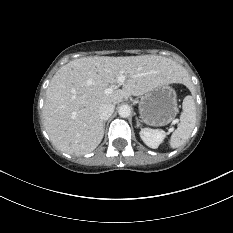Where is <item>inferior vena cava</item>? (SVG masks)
Returning <instances> with one entry per match:
<instances>
[{"instance_id": "1", "label": "inferior vena cava", "mask_w": 233, "mask_h": 233, "mask_svg": "<svg viewBox=\"0 0 233 233\" xmlns=\"http://www.w3.org/2000/svg\"><path fill=\"white\" fill-rule=\"evenodd\" d=\"M115 105L114 104H103L99 108V117L101 120H107L114 112Z\"/></svg>"}]
</instances>
